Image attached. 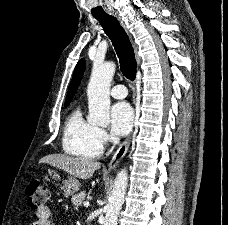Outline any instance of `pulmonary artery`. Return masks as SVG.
<instances>
[{
	"label": "pulmonary artery",
	"mask_w": 228,
	"mask_h": 225,
	"mask_svg": "<svg viewBox=\"0 0 228 225\" xmlns=\"http://www.w3.org/2000/svg\"><path fill=\"white\" fill-rule=\"evenodd\" d=\"M112 97L117 99H123L127 96L128 90L124 85H116L110 90Z\"/></svg>",
	"instance_id": "1"
}]
</instances>
